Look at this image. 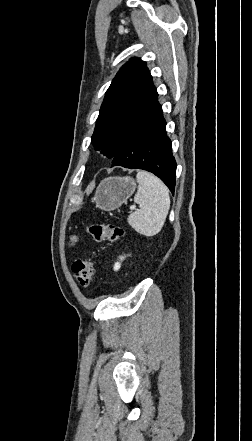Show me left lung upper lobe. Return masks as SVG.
Returning <instances> with one entry per match:
<instances>
[{"instance_id": "1", "label": "left lung upper lobe", "mask_w": 252, "mask_h": 441, "mask_svg": "<svg viewBox=\"0 0 252 441\" xmlns=\"http://www.w3.org/2000/svg\"><path fill=\"white\" fill-rule=\"evenodd\" d=\"M153 87L145 62L133 58L123 65L106 91L101 105L91 140L96 150L113 159Z\"/></svg>"}]
</instances>
